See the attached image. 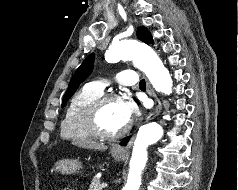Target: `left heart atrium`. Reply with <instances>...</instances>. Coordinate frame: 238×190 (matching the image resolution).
<instances>
[{
  "label": "left heart atrium",
  "instance_id": "obj_1",
  "mask_svg": "<svg viewBox=\"0 0 238 190\" xmlns=\"http://www.w3.org/2000/svg\"><path fill=\"white\" fill-rule=\"evenodd\" d=\"M121 107L124 114V117L127 121H130L131 118L135 115L138 110L136 103L130 98H124L121 100Z\"/></svg>",
  "mask_w": 238,
  "mask_h": 190
}]
</instances>
